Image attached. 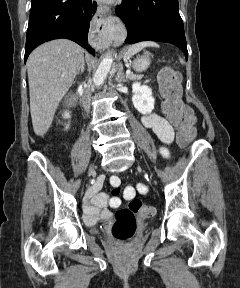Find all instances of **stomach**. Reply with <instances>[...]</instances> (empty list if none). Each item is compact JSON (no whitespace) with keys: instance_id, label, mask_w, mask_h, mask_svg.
I'll use <instances>...</instances> for the list:
<instances>
[{"instance_id":"stomach-1","label":"stomach","mask_w":240,"mask_h":288,"mask_svg":"<svg viewBox=\"0 0 240 288\" xmlns=\"http://www.w3.org/2000/svg\"><path fill=\"white\" fill-rule=\"evenodd\" d=\"M149 65H150V59L148 55L138 57L133 62V67L136 71H144L145 69L148 68Z\"/></svg>"}]
</instances>
